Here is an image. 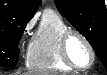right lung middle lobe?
<instances>
[{"instance_id":"obj_1","label":"right lung middle lobe","mask_w":107,"mask_h":75,"mask_svg":"<svg viewBox=\"0 0 107 75\" xmlns=\"http://www.w3.org/2000/svg\"><path fill=\"white\" fill-rule=\"evenodd\" d=\"M27 23L11 24L0 30V66L10 67L18 61V43Z\"/></svg>"}]
</instances>
